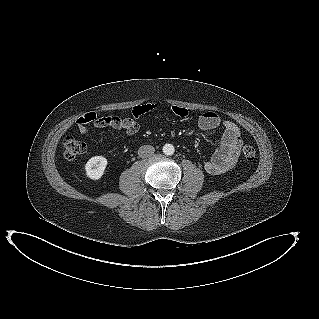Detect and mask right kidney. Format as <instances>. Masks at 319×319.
I'll return each mask as SVG.
<instances>
[{
  "instance_id": "right-kidney-1",
  "label": "right kidney",
  "mask_w": 319,
  "mask_h": 319,
  "mask_svg": "<svg viewBox=\"0 0 319 319\" xmlns=\"http://www.w3.org/2000/svg\"><path fill=\"white\" fill-rule=\"evenodd\" d=\"M108 161L103 156H94L90 158L87 163L85 164V171L87 177L92 180L100 179L106 169Z\"/></svg>"
}]
</instances>
